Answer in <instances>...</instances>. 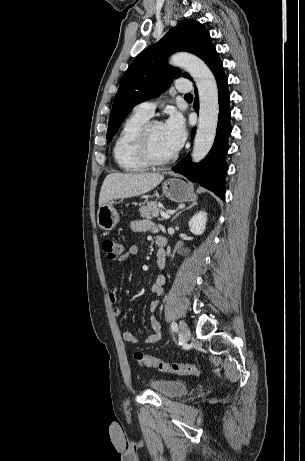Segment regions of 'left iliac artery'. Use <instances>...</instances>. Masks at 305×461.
I'll use <instances>...</instances> for the list:
<instances>
[{
  "mask_svg": "<svg viewBox=\"0 0 305 461\" xmlns=\"http://www.w3.org/2000/svg\"><path fill=\"white\" fill-rule=\"evenodd\" d=\"M171 329H172L174 332H177V331H178L177 323L172 322V324H171Z\"/></svg>",
  "mask_w": 305,
  "mask_h": 461,
  "instance_id": "obj_1",
  "label": "left iliac artery"
}]
</instances>
